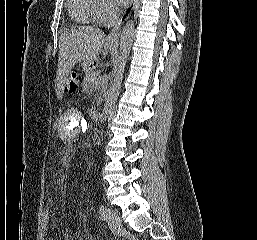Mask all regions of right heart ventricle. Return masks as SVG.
Masks as SVG:
<instances>
[{"label":"right heart ventricle","mask_w":257,"mask_h":240,"mask_svg":"<svg viewBox=\"0 0 257 240\" xmlns=\"http://www.w3.org/2000/svg\"><path fill=\"white\" fill-rule=\"evenodd\" d=\"M96 0H67L70 17L79 24H90L94 20Z\"/></svg>","instance_id":"e07e8e85"}]
</instances>
